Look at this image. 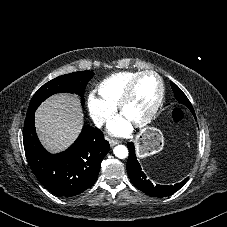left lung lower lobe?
Instances as JSON below:
<instances>
[{
    "mask_svg": "<svg viewBox=\"0 0 227 227\" xmlns=\"http://www.w3.org/2000/svg\"><path fill=\"white\" fill-rule=\"evenodd\" d=\"M195 116L194 111H191ZM129 157L127 161V172L131 182L136 188L144 193L155 197H166L177 192L188 180V177L175 185H154L144 174L135 155V148L132 142L127 144Z\"/></svg>",
    "mask_w": 227,
    "mask_h": 227,
    "instance_id": "obj_1",
    "label": "left lung lower lobe"
}]
</instances>
